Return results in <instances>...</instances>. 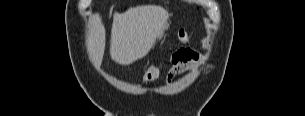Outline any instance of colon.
Returning a JSON list of instances; mask_svg holds the SVG:
<instances>
[{
	"mask_svg": "<svg viewBox=\"0 0 305 116\" xmlns=\"http://www.w3.org/2000/svg\"><path fill=\"white\" fill-rule=\"evenodd\" d=\"M177 40L181 44H187L189 42V33L183 27L179 28L177 31ZM185 56V49H179L174 55V57H183ZM161 73V67L158 65L151 66L145 72L142 83L147 84L156 80Z\"/></svg>",
	"mask_w": 305,
	"mask_h": 116,
	"instance_id": "obj_1",
	"label": "colon"
}]
</instances>
